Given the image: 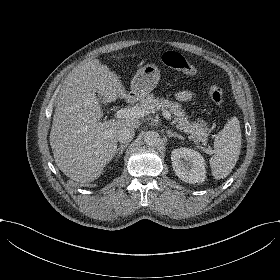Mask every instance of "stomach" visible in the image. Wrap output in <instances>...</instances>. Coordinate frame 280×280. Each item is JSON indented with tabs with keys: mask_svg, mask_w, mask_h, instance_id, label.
I'll list each match as a JSON object with an SVG mask.
<instances>
[{
	"mask_svg": "<svg viewBox=\"0 0 280 280\" xmlns=\"http://www.w3.org/2000/svg\"><path fill=\"white\" fill-rule=\"evenodd\" d=\"M160 80V70L154 64H147L137 70L131 81V91L148 95Z\"/></svg>",
	"mask_w": 280,
	"mask_h": 280,
	"instance_id": "1",
	"label": "stomach"
}]
</instances>
